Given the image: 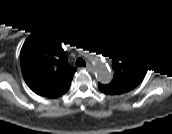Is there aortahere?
Masks as SVG:
<instances>
[{"instance_id": "obj_1", "label": "aorta", "mask_w": 172, "mask_h": 134, "mask_svg": "<svg viewBox=\"0 0 172 134\" xmlns=\"http://www.w3.org/2000/svg\"><path fill=\"white\" fill-rule=\"evenodd\" d=\"M85 53L94 65V71L97 79L99 81L108 82L111 78V74L108 68L103 64L104 61L102 56L97 55L96 53H89L88 51H85Z\"/></svg>"}]
</instances>
